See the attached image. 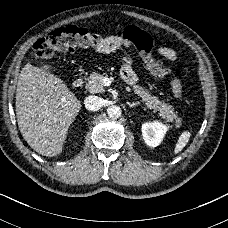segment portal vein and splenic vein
Listing matches in <instances>:
<instances>
[{
	"instance_id": "18ae733b",
	"label": "portal vein and splenic vein",
	"mask_w": 228,
	"mask_h": 228,
	"mask_svg": "<svg viewBox=\"0 0 228 228\" xmlns=\"http://www.w3.org/2000/svg\"><path fill=\"white\" fill-rule=\"evenodd\" d=\"M107 82H108V78H103L102 84H105V83H107Z\"/></svg>"
}]
</instances>
